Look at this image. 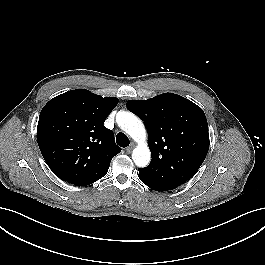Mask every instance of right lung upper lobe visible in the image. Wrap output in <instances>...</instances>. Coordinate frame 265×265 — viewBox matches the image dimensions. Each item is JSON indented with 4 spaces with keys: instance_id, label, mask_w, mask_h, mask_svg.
Masks as SVG:
<instances>
[{
    "instance_id": "1",
    "label": "right lung upper lobe",
    "mask_w": 265,
    "mask_h": 265,
    "mask_svg": "<svg viewBox=\"0 0 265 265\" xmlns=\"http://www.w3.org/2000/svg\"><path fill=\"white\" fill-rule=\"evenodd\" d=\"M118 104L76 89L51 99L42 109L37 141L49 168L60 179L76 186L94 183L108 172L121 148L103 123Z\"/></svg>"
}]
</instances>
